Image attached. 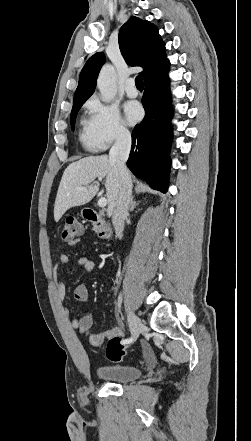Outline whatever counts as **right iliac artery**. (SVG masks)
Returning <instances> with one entry per match:
<instances>
[{"label":"right iliac artery","mask_w":251,"mask_h":441,"mask_svg":"<svg viewBox=\"0 0 251 441\" xmlns=\"http://www.w3.org/2000/svg\"><path fill=\"white\" fill-rule=\"evenodd\" d=\"M132 341H133V339H132V337H131V338H128V339L123 340V343H130V342H132Z\"/></svg>","instance_id":"obj_1"}]
</instances>
